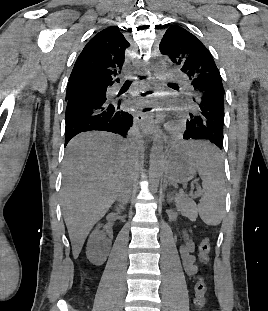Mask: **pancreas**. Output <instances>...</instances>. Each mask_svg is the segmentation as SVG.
<instances>
[{"label":"pancreas","mask_w":268,"mask_h":311,"mask_svg":"<svg viewBox=\"0 0 268 311\" xmlns=\"http://www.w3.org/2000/svg\"><path fill=\"white\" fill-rule=\"evenodd\" d=\"M178 211L188 218H193L196 215L197 207L192 198L188 196H177L175 199Z\"/></svg>","instance_id":"1"}]
</instances>
